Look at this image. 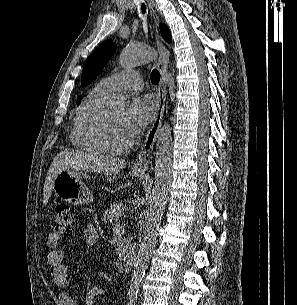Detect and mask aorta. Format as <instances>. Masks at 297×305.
I'll return each mask as SVG.
<instances>
[{
  "instance_id": "1",
  "label": "aorta",
  "mask_w": 297,
  "mask_h": 305,
  "mask_svg": "<svg viewBox=\"0 0 297 305\" xmlns=\"http://www.w3.org/2000/svg\"><path fill=\"white\" fill-rule=\"evenodd\" d=\"M156 56L155 50L149 46H127L120 54L119 63L124 68H130L149 63ZM112 106L116 109H123L125 102L123 99H117ZM172 149L171 127L169 123L165 122L157 135L155 179L152 193L150 194L144 235L128 291L130 297H136L139 292L140 283L145 275V270L157 241L158 230L171 185Z\"/></svg>"
}]
</instances>
